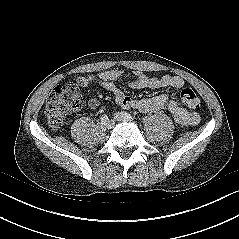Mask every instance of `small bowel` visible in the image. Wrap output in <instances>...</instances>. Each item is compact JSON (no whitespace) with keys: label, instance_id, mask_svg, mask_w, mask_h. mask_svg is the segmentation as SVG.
Returning <instances> with one entry per match:
<instances>
[{"label":"small bowel","instance_id":"1","mask_svg":"<svg viewBox=\"0 0 239 239\" xmlns=\"http://www.w3.org/2000/svg\"><path fill=\"white\" fill-rule=\"evenodd\" d=\"M124 73L119 69H109L100 72L97 75L79 76L75 82L80 87H86L92 83L99 84L109 92H111L115 98V101L122 108L130 109L135 108L142 113L157 112L166 108L168 113L173 119L182 126H194L198 124L200 116L197 112L187 111L182 108L177 101L170 98L167 94H160L152 98H146L141 100H134L115 85V81L123 78ZM184 85V80L180 76L176 75H163V76H148L143 72H135L132 80L129 82V86L134 89H161L172 88L181 89ZM99 107V101L96 98H91L88 101V108L96 110Z\"/></svg>","mask_w":239,"mask_h":239}]
</instances>
